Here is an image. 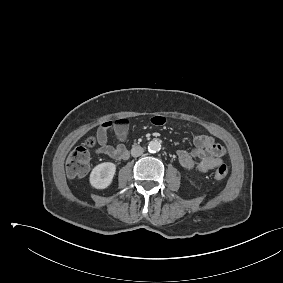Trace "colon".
I'll list each match as a JSON object with an SVG mask.
<instances>
[{
    "mask_svg": "<svg viewBox=\"0 0 283 283\" xmlns=\"http://www.w3.org/2000/svg\"><path fill=\"white\" fill-rule=\"evenodd\" d=\"M95 145V139L89 138L85 144L76 147L68 156L66 163V172L70 177H79L85 175L90 168L89 148ZM218 180L225 179L228 175V169L225 165H220L214 173Z\"/></svg>",
    "mask_w": 283,
    "mask_h": 283,
    "instance_id": "obj_1",
    "label": "colon"
}]
</instances>
